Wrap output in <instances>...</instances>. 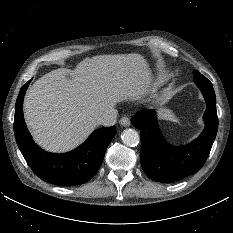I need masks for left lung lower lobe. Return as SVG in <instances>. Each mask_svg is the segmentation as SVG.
<instances>
[{
    "mask_svg": "<svg viewBox=\"0 0 233 233\" xmlns=\"http://www.w3.org/2000/svg\"><path fill=\"white\" fill-rule=\"evenodd\" d=\"M205 101V129L192 143L174 147L166 143L153 110L139 111L132 118L141 137L140 161L146 175L157 182L173 183L195 174L205 163L218 130L216 96L210 81L196 83Z\"/></svg>",
    "mask_w": 233,
    "mask_h": 233,
    "instance_id": "obj_1",
    "label": "left lung lower lobe"
}]
</instances>
